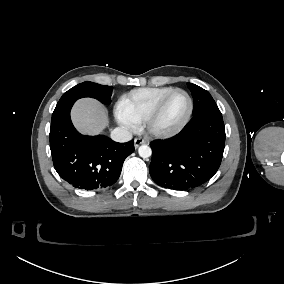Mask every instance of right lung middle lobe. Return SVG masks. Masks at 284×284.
I'll return each mask as SVG.
<instances>
[{"mask_svg": "<svg viewBox=\"0 0 284 284\" xmlns=\"http://www.w3.org/2000/svg\"><path fill=\"white\" fill-rule=\"evenodd\" d=\"M112 89L113 88L111 86H105L86 81L74 86L66 93H64L57 103L56 107H59L66 103L75 102L79 98L83 97H92L99 100L103 104H110Z\"/></svg>", "mask_w": 284, "mask_h": 284, "instance_id": "dd1d6c3e", "label": "right lung middle lobe"}]
</instances>
